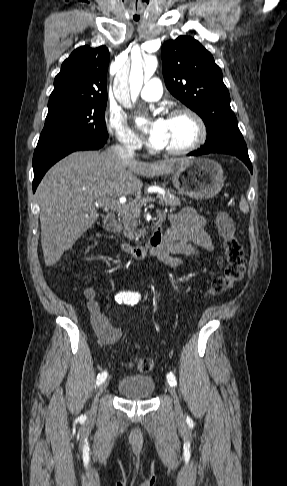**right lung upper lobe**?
<instances>
[{
  "label": "right lung upper lobe",
  "mask_w": 287,
  "mask_h": 486,
  "mask_svg": "<svg viewBox=\"0 0 287 486\" xmlns=\"http://www.w3.org/2000/svg\"><path fill=\"white\" fill-rule=\"evenodd\" d=\"M108 64L109 51L105 46L85 45L74 50L55 77L48 107L90 99L107 100Z\"/></svg>",
  "instance_id": "right-lung-upper-lobe-1"
}]
</instances>
